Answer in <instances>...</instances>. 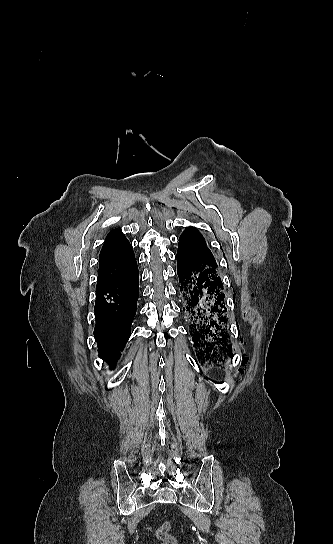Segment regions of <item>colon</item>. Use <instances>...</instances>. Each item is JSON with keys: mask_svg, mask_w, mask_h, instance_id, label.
Wrapping results in <instances>:
<instances>
[{"mask_svg": "<svg viewBox=\"0 0 333 544\" xmlns=\"http://www.w3.org/2000/svg\"><path fill=\"white\" fill-rule=\"evenodd\" d=\"M171 524L168 521L163 522L156 531L157 538L162 544H178L176 538L171 534Z\"/></svg>", "mask_w": 333, "mask_h": 544, "instance_id": "colon-1", "label": "colon"}]
</instances>
